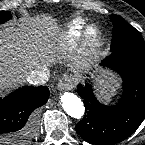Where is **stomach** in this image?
<instances>
[{"label":"stomach","mask_w":145,"mask_h":145,"mask_svg":"<svg viewBox=\"0 0 145 145\" xmlns=\"http://www.w3.org/2000/svg\"><path fill=\"white\" fill-rule=\"evenodd\" d=\"M113 81L112 80H109L106 85H105V88H106V91L104 90L103 93H105L104 95L107 97L109 95V93H107V91H109L110 93H112L114 91V85H113Z\"/></svg>","instance_id":"1"}]
</instances>
